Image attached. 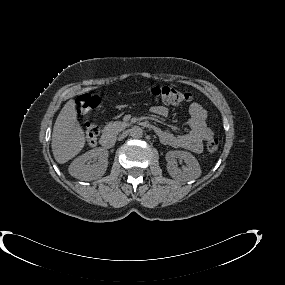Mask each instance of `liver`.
Returning a JSON list of instances; mask_svg holds the SVG:
<instances>
[{
    "label": "liver",
    "instance_id": "obj_1",
    "mask_svg": "<svg viewBox=\"0 0 285 285\" xmlns=\"http://www.w3.org/2000/svg\"><path fill=\"white\" fill-rule=\"evenodd\" d=\"M85 142L76 104L70 99L60 111L53 127L51 148L54 159L59 164L66 163L84 148Z\"/></svg>",
    "mask_w": 285,
    "mask_h": 285
}]
</instances>
